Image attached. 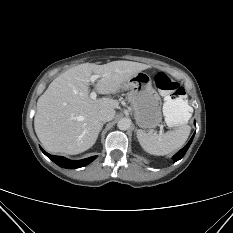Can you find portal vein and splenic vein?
<instances>
[{"label":"portal vein and splenic vein","instance_id":"obj_1","mask_svg":"<svg viewBox=\"0 0 233 233\" xmlns=\"http://www.w3.org/2000/svg\"><path fill=\"white\" fill-rule=\"evenodd\" d=\"M100 77H102V76H101V75H92V76L90 77V82H91V84H94V82H95L98 78H100ZM96 97H97L96 92H95V91H92V92L90 93V98H91V99H96ZM160 132L162 133V132H163V129H161Z\"/></svg>","mask_w":233,"mask_h":233}]
</instances>
